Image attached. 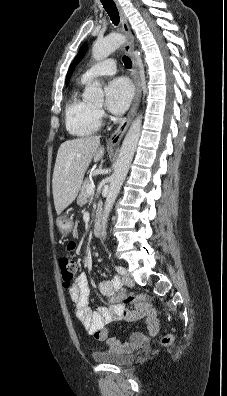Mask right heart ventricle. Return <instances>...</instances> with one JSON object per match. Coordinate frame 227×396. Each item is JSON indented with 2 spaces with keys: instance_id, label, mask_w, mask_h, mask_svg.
<instances>
[{
  "instance_id": "e07e8e85",
  "label": "right heart ventricle",
  "mask_w": 227,
  "mask_h": 396,
  "mask_svg": "<svg viewBox=\"0 0 227 396\" xmlns=\"http://www.w3.org/2000/svg\"><path fill=\"white\" fill-rule=\"evenodd\" d=\"M86 81L79 82L73 89L65 106V125L67 131L77 137L94 134L100 127V118L97 109L82 98L80 87Z\"/></svg>"
}]
</instances>
